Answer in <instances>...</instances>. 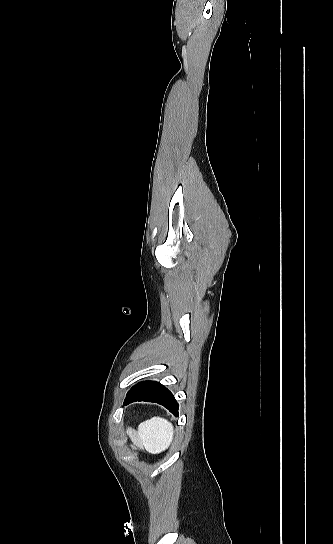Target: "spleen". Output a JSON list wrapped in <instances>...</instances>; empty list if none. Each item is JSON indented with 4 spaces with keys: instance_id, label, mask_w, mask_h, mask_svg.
<instances>
[{
    "instance_id": "obj_1",
    "label": "spleen",
    "mask_w": 333,
    "mask_h": 544,
    "mask_svg": "<svg viewBox=\"0 0 333 544\" xmlns=\"http://www.w3.org/2000/svg\"><path fill=\"white\" fill-rule=\"evenodd\" d=\"M139 436L151 452L165 451L173 440V425L165 418L156 416L142 422L138 427Z\"/></svg>"
}]
</instances>
